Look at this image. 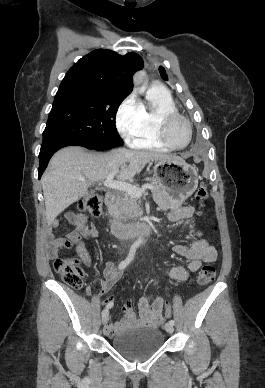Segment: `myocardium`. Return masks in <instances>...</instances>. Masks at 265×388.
Wrapping results in <instances>:
<instances>
[{
	"instance_id": "1",
	"label": "myocardium",
	"mask_w": 265,
	"mask_h": 388,
	"mask_svg": "<svg viewBox=\"0 0 265 388\" xmlns=\"http://www.w3.org/2000/svg\"><path fill=\"white\" fill-rule=\"evenodd\" d=\"M158 90H161V89L152 88L149 91H158ZM162 91H165V90H162ZM175 118L181 120L184 123V125L186 126V129L188 131V140L182 146L173 145L167 136L168 124L172 119H175ZM157 128H158V134H159L160 139L170 148H174V149L184 148L189 144V142L191 140V136H192L191 124L186 117L179 114L177 111H165V112H163L158 119V127Z\"/></svg>"
}]
</instances>
